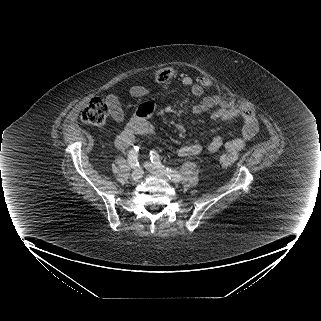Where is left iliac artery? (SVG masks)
Returning a JSON list of instances; mask_svg holds the SVG:
<instances>
[{
    "label": "left iliac artery",
    "instance_id": "obj_1",
    "mask_svg": "<svg viewBox=\"0 0 321 321\" xmlns=\"http://www.w3.org/2000/svg\"><path fill=\"white\" fill-rule=\"evenodd\" d=\"M150 160L160 171L164 172L170 180L173 182L181 181V175L178 171L165 168L164 165L161 164L160 157L156 151L150 152Z\"/></svg>",
    "mask_w": 321,
    "mask_h": 321
}]
</instances>
